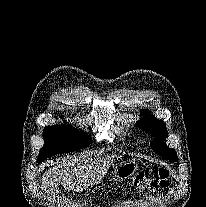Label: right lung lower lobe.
Listing matches in <instances>:
<instances>
[{
    "instance_id": "1",
    "label": "right lung lower lobe",
    "mask_w": 206,
    "mask_h": 207,
    "mask_svg": "<svg viewBox=\"0 0 206 207\" xmlns=\"http://www.w3.org/2000/svg\"><path fill=\"white\" fill-rule=\"evenodd\" d=\"M39 163L42 162L41 160H37Z\"/></svg>"
}]
</instances>
